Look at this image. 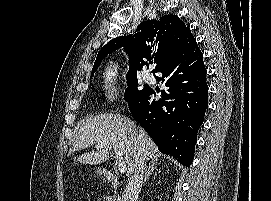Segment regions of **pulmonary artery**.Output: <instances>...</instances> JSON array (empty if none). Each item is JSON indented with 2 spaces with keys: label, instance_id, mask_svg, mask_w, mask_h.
I'll use <instances>...</instances> for the list:
<instances>
[{
  "label": "pulmonary artery",
  "instance_id": "1",
  "mask_svg": "<svg viewBox=\"0 0 271 201\" xmlns=\"http://www.w3.org/2000/svg\"><path fill=\"white\" fill-rule=\"evenodd\" d=\"M144 80L146 82H152L154 80V77L151 74L147 73L144 75Z\"/></svg>",
  "mask_w": 271,
  "mask_h": 201
}]
</instances>
